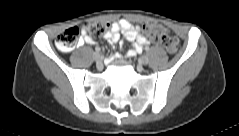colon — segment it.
I'll list each match as a JSON object with an SVG mask.
<instances>
[{
  "mask_svg": "<svg viewBox=\"0 0 239 136\" xmlns=\"http://www.w3.org/2000/svg\"><path fill=\"white\" fill-rule=\"evenodd\" d=\"M109 30V24L105 22H89L81 28L72 27L57 36L56 45L61 51H69L75 48L79 42L81 33H87L94 37L104 36ZM143 31L153 42L160 43L170 54H175L180 47L176 37L166 34V30L159 24H145Z\"/></svg>",
  "mask_w": 239,
  "mask_h": 136,
  "instance_id": "obj_1",
  "label": "colon"
}]
</instances>
